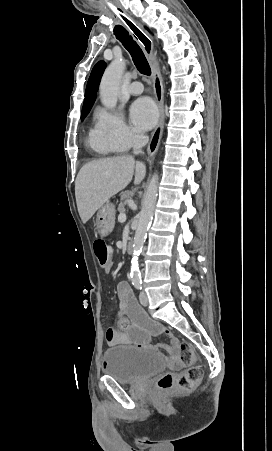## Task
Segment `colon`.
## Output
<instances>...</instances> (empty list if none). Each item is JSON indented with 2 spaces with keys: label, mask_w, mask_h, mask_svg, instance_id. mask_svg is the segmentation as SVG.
<instances>
[{
  "label": "colon",
  "mask_w": 272,
  "mask_h": 451,
  "mask_svg": "<svg viewBox=\"0 0 272 451\" xmlns=\"http://www.w3.org/2000/svg\"><path fill=\"white\" fill-rule=\"evenodd\" d=\"M94 252L100 267H106L110 261L111 249L104 240H96L94 242ZM113 332V331H112ZM114 335L110 337L112 340L110 345L116 348L119 342L113 339ZM191 342H175L169 345V348L173 350V359L179 365H185L184 371L176 373H164L158 381L157 386L160 390L168 391L173 388L192 390L193 386L202 377L201 365H196V350H192Z\"/></svg>",
  "instance_id": "1"
}]
</instances>
